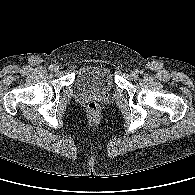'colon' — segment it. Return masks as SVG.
Here are the masks:
<instances>
[{"mask_svg":"<svg viewBox=\"0 0 195 195\" xmlns=\"http://www.w3.org/2000/svg\"><path fill=\"white\" fill-rule=\"evenodd\" d=\"M87 110H88V112L90 113V114H92V115H96V114H98V112H99V106H98V104L96 103V102H89L88 104H87Z\"/></svg>","mask_w":195,"mask_h":195,"instance_id":"5ec220e1","label":"colon"}]
</instances>
